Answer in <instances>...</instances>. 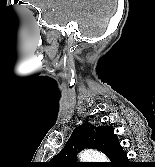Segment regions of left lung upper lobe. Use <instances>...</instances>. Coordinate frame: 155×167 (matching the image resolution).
Returning <instances> with one entry per match:
<instances>
[{
  "label": "left lung upper lobe",
  "instance_id": "left-lung-upper-lobe-1",
  "mask_svg": "<svg viewBox=\"0 0 155 167\" xmlns=\"http://www.w3.org/2000/svg\"><path fill=\"white\" fill-rule=\"evenodd\" d=\"M119 144L113 127L83 123L74 129L65 147L47 163V167H87L86 163L74 161L77 152L85 148L97 149L110 159Z\"/></svg>",
  "mask_w": 155,
  "mask_h": 167
}]
</instances>
